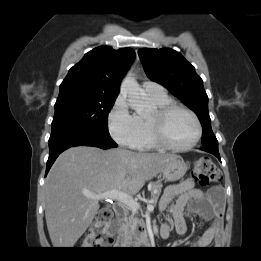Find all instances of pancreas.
Segmentation results:
<instances>
[{"label": "pancreas", "mask_w": 261, "mask_h": 261, "mask_svg": "<svg viewBox=\"0 0 261 261\" xmlns=\"http://www.w3.org/2000/svg\"><path fill=\"white\" fill-rule=\"evenodd\" d=\"M162 189V184L161 183H152L151 184V199L153 200V204H156L160 193ZM137 212L136 211H131V214L128 212L125 213V217L123 218V225H122V230L120 233L121 237L124 238H133V236L136 234L137 231V226L140 224L144 226V223L141 219H139L136 216Z\"/></svg>", "instance_id": "pancreas-1"}]
</instances>
